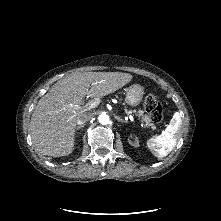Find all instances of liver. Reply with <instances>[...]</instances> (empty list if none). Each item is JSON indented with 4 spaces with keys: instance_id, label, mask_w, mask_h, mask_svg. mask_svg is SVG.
Instances as JSON below:
<instances>
[{
    "instance_id": "6515ba94",
    "label": "liver",
    "mask_w": 221,
    "mask_h": 221,
    "mask_svg": "<svg viewBox=\"0 0 221 221\" xmlns=\"http://www.w3.org/2000/svg\"><path fill=\"white\" fill-rule=\"evenodd\" d=\"M122 72L73 74L54 85L37 103L30 121V133L37 150L47 156H67L74 150L77 119L84 109L74 110L84 97H103L132 80Z\"/></svg>"
}]
</instances>
